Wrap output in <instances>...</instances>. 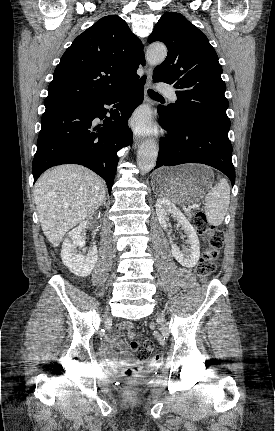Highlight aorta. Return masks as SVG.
Returning a JSON list of instances; mask_svg holds the SVG:
<instances>
[{"label":"aorta","mask_w":275,"mask_h":431,"mask_svg":"<svg viewBox=\"0 0 275 431\" xmlns=\"http://www.w3.org/2000/svg\"><path fill=\"white\" fill-rule=\"evenodd\" d=\"M167 56V48L163 44H153L146 51V61L152 66L161 64ZM158 156L157 143L153 139L146 140L137 153V165L142 173L154 168Z\"/></svg>","instance_id":"1"}]
</instances>
